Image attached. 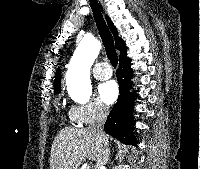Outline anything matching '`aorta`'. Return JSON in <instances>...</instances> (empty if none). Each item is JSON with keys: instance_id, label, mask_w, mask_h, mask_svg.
<instances>
[{"instance_id": "aorta-1", "label": "aorta", "mask_w": 200, "mask_h": 169, "mask_svg": "<svg viewBox=\"0 0 200 169\" xmlns=\"http://www.w3.org/2000/svg\"><path fill=\"white\" fill-rule=\"evenodd\" d=\"M100 48L98 40L91 35H85L70 60L66 84L70 95L78 102H86L91 96L90 69Z\"/></svg>"}]
</instances>
